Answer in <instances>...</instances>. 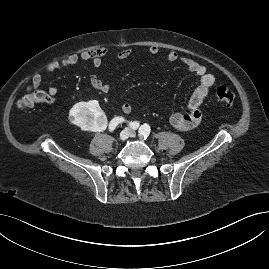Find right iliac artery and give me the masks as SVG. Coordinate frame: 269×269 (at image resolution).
I'll return each mask as SVG.
<instances>
[{"mask_svg": "<svg viewBox=\"0 0 269 269\" xmlns=\"http://www.w3.org/2000/svg\"><path fill=\"white\" fill-rule=\"evenodd\" d=\"M119 120H124V119H122V118H115V119H113V120L111 121V123L109 124V130H110V131H113V130L116 128V126H117L118 123L120 122ZM129 126H130V128L136 130V129L139 128V122H137V121L130 122V123H129Z\"/></svg>", "mask_w": 269, "mask_h": 269, "instance_id": "82829eb1", "label": "right iliac artery"}]
</instances>
